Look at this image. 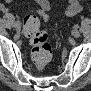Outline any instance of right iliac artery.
I'll list each match as a JSON object with an SVG mask.
<instances>
[{"label":"right iliac artery","instance_id":"obj_1","mask_svg":"<svg viewBox=\"0 0 91 91\" xmlns=\"http://www.w3.org/2000/svg\"><path fill=\"white\" fill-rule=\"evenodd\" d=\"M15 25H20V22H19V21L15 22ZM15 25H14V26H15Z\"/></svg>","mask_w":91,"mask_h":91}]
</instances>
